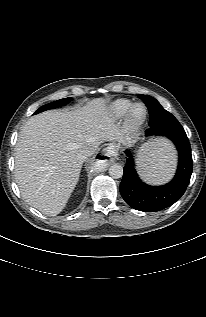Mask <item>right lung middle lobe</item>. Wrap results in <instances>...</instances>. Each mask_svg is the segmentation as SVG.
<instances>
[{
	"mask_svg": "<svg viewBox=\"0 0 206 317\" xmlns=\"http://www.w3.org/2000/svg\"><path fill=\"white\" fill-rule=\"evenodd\" d=\"M70 100H71V98H64V99L57 100L55 102H51L49 104H46V105L40 107L38 110H36V112L34 114H37V113H40V112H43V111H46V110H49V109H53V108H57V107L63 106L65 104H67Z\"/></svg>",
	"mask_w": 206,
	"mask_h": 317,
	"instance_id": "right-lung-middle-lobe-1",
	"label": "right lung middle lobe"
}]
</instances>
